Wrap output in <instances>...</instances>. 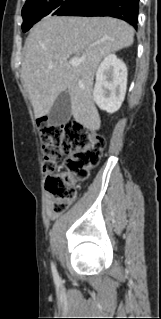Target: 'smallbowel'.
Returning <instances> with one entry per match:
<instances>
[{
	"mask_svg": "<svg viewBox=\"0 0 161 319\" xmlns=\"http://www.w3.org/2000/svg\"><path fill=\"white\" fill-rule=\"evenodd\" d=\"M52 203H53L52 198L48 196L46 198V213H47V217L50 220H54L57 217L56 214L52 212Z\"/></svg>",
	"mask_w": 161,
	"mask_h": 319,
	"instance_id": "1",
	"label": "small bowel"
}]
</instances>
